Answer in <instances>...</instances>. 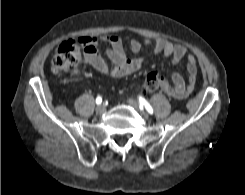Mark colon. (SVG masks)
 Listing matches in <instances>:
<instances>
[{
    "label": "colon",
    "instance_id": "5ec220e1",
    "mask_svg": "<svg viewBox=\"0 0 245 195\" xmlns=\"http://www.w3.org/2000/svg\"><path fill=\"white\" fill-rule=\"evenodd\" d=\"M83 53L84 48L76 41L69 40L61 43L51 59V71L55 74H61L75 70ZM163 81L157 73H150L145 78L142 89L145 93H153L162 87Z\"/></svg>",
    "mask_w": 245,
    "mask_h": 195
}]
</instances>
